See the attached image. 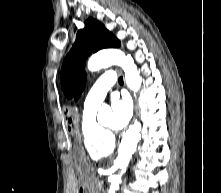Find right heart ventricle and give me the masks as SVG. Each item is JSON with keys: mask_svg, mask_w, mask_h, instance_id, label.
Returning <instances> with one entry per match:
<instances>
[{"mask_svg": "<svg viewBox=\"0 0 221 193\" xmlns=\"http://www.w3.org/2000/svg\"><path fill=\"white\" fill-rule=\"evenodd\" d=\"M95 110L83 111L81 118V138L87 154L92 159H99L112 153L115 143L114 140L106 134L96 121Z\"/></svg>", "mask_w": 221, "mask_h": 193, "instance_id": "e07e8e85", "label": "right heart ventricle"}]
</instances>
